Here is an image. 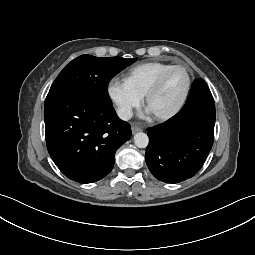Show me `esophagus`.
I'll return each mask as SVG.
<instances>
[{"instance_id": "obj_1", "label": "esophagus", "mask_w": 255, "mask_h": 255, "mask_svg": "<svg viewBox=\"0 0 255 255\" xmlns=\"http://www.w3.org/2000/svg\"><path fill=\"white\" fill-rule=\"evenodd\" d=\"M131 130H132V133L135 134V133L141 131V128L137 127V126H132Z\"/></svg>"}]
</instances>
